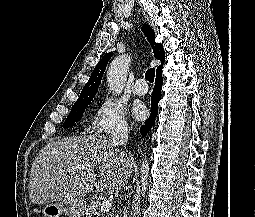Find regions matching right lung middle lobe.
<instances>
[{
	"label": "right lung middle lobe",
	"instance_id": "right-lung-middle-lobe-1",
	"mask_svg": "<svg viewBox=\"0 0 255 217\" xmlns=\"http://www.w3.org/2000/svg\"><path fill=\"white\" fill-rule=\"evenodd\" d=\"M95 94L96 92L80 95L78 100L73 105L67 119L65 120L63 127L65 128L70 127L83 116L85 109L87 108L88 104L92 101Z\"/></svg>",
	"mask_w": 255,
	"mask_h": 217
}]
</instances>
